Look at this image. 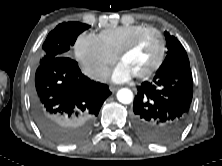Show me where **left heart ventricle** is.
<instances>
[{
	"label": "left heart ventricle",
	"instance_id": "left-heart-ventricle-1",
	"mask_svg": "<svg viewBox=\"0 0 222 166\" xmlns=\"http://www.w3.org/2000/svg\"><path fill=\"white\" fill-rule=\"evenodd\" d=\"M160 42L156 35L149 34L141 43L122 59L135 75L149 69L159 56Z\"/></svg>",
	"mask_w": 222,
	"mask_h": 166
}]
</instances>
